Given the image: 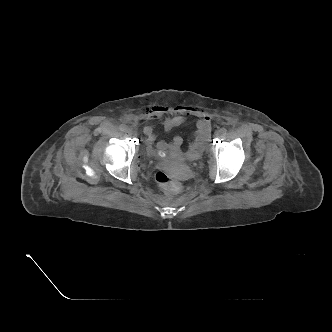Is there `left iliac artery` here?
Segmentation results:
<instances>
[{
  "mask_svg": "<svg viewBox=\"0 0 332 332\" xmlns=\"http://www.w3.org/2000/svg\"><path fill=\"white\" fill-rule=\"evenodd\" d=\"M221 132H222L223 134H226V133H227V129H226V128H221Z\"/></svg>",
  "mask_w": 332,
  "mask_h": 332,
  "instance_id": "left-iliac-artery-1",
  "label": "left iliac artery"
}]
</instances>
